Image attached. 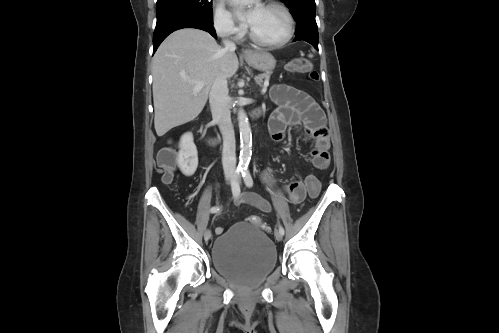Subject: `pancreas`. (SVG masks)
I'll list each match as a JSON object with an SVG mask.
<instances>
[{
	"instance_id": "1",
	"label": "pancreas",
	"mask_w": 499,
	"mask_h": 333,
	"mask_svg": "<svg viewBox=\"0 0 499 333\" xmlns=\"http://www.w3.org/2000/svg\"><path fill=\"white\" fill-rule=\"evenodd\" d=\"M270 75H271L270 71L263 73V74H260V75L255 77V81L257 84L261 85L263 83V80L268 81L270 79Z\"/></svg>"
}]
</instances>
